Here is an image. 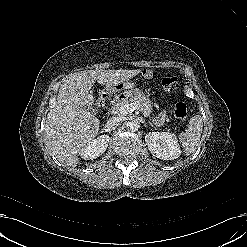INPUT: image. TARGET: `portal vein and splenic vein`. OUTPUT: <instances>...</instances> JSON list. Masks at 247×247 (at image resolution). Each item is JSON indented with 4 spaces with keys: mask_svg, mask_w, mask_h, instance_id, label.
I'll return each instance as SVG.
<instances>
[{
    "mask_svg": "<svg viewBox=\"0 0 247 247\" xmlns=\"http://www.w3.org/2000/svg\"><path fill=\"white\" fill-rule=\"evenodd\" d=\"M135 110H139L138 106L125 105L120 107L115 113L118 115L126 116L128 113H132Z\"/></svg>",
    "mask_w": 247,
    "mask_h": 247,
    "instance_id": "portal-vein-and-splenic-vein-1",
    "label": "portal vein and splenic vein"
}]
</instances>
